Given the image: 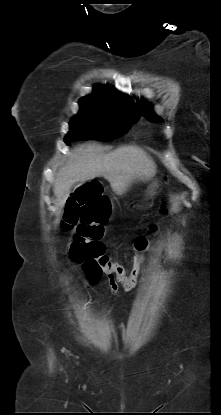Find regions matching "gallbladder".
Listing matches in <instances>:
<instances>
[{
  "label": "gallbladder",
  "instance_id": "obj_1",
  "mask_svg": "<svg viewBox=\"0 0 221 415\" xmlns=\"http://www.w3.org/2000/svg\"><path fill=\"white\" fill-rule=\"evenodd\" d=\"M80 184L79 183H75V184H73L72 185V189H74V188H76L77 186H79Z\"/></svg>",
  "mask_w": 221,
  "mask_h": 415
}]
</instances>
